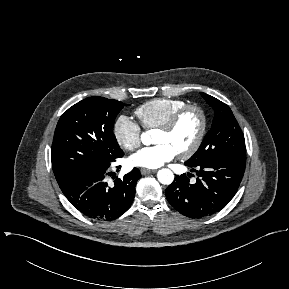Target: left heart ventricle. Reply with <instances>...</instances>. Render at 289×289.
I'll return each mask as SVG.
<instances>
[{
	"mask_svg": "<svg viewBox=\"0 0 289 289\" xmlns=\"http://www.w3.org/2000/svg\"><path fill=\"white\" fill-rule=\"evenodd\" d=\"M200 128V118L196 112H188L176 128L169 133L158 130L154 137L155 144L170 145L177 153L186 150L195 140Z\"/></svg>",
	"mask_w": 289,
	"mask_h": 289,
	"instance_id": "b2bd125f",
	"label": "left heart ventricle"
}]
</instances>
